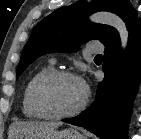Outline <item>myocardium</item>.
Masks as SVG:
<instances>
[{
    "instance_id": "myocardium-1",
    "label": "myocardium",
    "mask_w": 141,
    "mask_h": 139,
    "mask_svg": "<svg viewBox=\"0 0 141 139\" xmlns=\"http://www.w3.org/2000/svg\"><path fill=\"white\" fill-rule=\"evenodd\" d=\"M62 77H68V78H73L78 80L81 83L83 88V98L81 102L72 110L67 112L57 113L50 110V108L47 106L45 102V98H44V91L46 86L50 82ZM32 97H33V102L35 107L45 118L62 119V118L75 116L85 109L89 101V89L84 79L80 75L70 70L57 69V70H52L46 73L36 82L33 88Z\"/></svg>"
}]
</instances>
